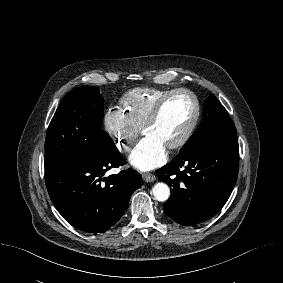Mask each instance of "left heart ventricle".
I'll use <instances>...</instances> for the list:
<instances>
[{
	"label": "left heart ventricle",
	"mask_w": 283,
	"mask_h": 283,
	"mask_svg": "<svg viewBox=\"0 0 283 283\" xmlns=\"http://www.w3.org/2000/svg\"><path fill=\"white\" fill-rule=\"evenodd\" d=\"M194 113L195 106L189 96L175 95L166 103L158 120L143 134L153 137L167 147L183 135Z\"/></svg>",
	"instance_id": "b2bd125f"
}]
</instances>
